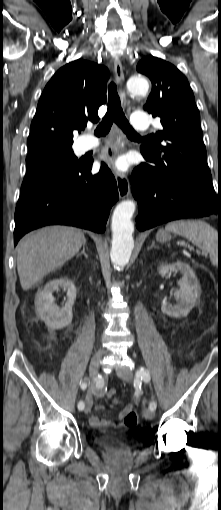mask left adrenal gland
<instances>
[{
	"label": "left adrenal gland",
	"instance_id": "obj_1",
	"mask_svg": "<svg viewBox=\"0 0 221 510\" xmlns=\"http://www.w3.org/2000/svg\"><path fill=\"white\" fill-rule=\"evenodd\" d=\"M152 248L159 249V247L155 245V241H152V244H151V246L148 248V250H149V249H152Z\"/></svg>",
	"mask_w": 221,
	"mask_h": 510
}]
</instances>
